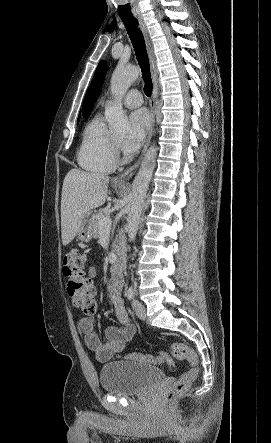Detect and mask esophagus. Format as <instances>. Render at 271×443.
Here are the masks:
<instances>
[{"label":"esophagus","instance_id":"obj_1","mask_svg":"<svg viewBox=\"0 0 271 443\" xmlns=\"http://www.w3.org/2000/svg\"><path fill=\"white\" fill-rule=\"evenodd\" d=\"M135 17L137 18L140 30L144 36V39H145V44H146L147 53H148L149 62H150V71H151V77H152V83H153V90H152V97L150 100V120H149V127H148V137L146 139L142 153H141L140 157L138 158L137 162L134 163V165H132L127 170H125L123 173H120V175H117L112 180L113 183L119 184L121 186L129 185V181L137 172L139 165L141 163V160L143 158V155L146 152L148 146L150 145V141H151L152 133H153V129H154V122H155V102H156V98L158 95V67H157L156 57H155L154 50H153L152 41L150 39L149 31H148L147 25L144 21L143 15H135Z\"/></svg>","mask_w":271,"mask_h":443}]
</instances>
